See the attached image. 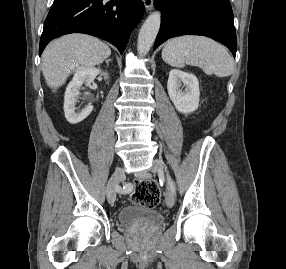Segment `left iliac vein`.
<instances>
[{"label":"left iliac vein","instance_id":"obj_1","mask_svg":"<svg viewBox=\"0 0 286 269\" xmlns=\"http://www.w3.org/2000/svg\"><path fill=\"white\" fill-rule=\"evenodd\" d=\"M151 170H152V172L159 173L163 176L166 175L168 172L165 163L160 159H154V164H153V167ZM174 202H175V196H174V193H173V191L170 187V184H169L167 187L166 194H165L166 206L168 208H171V207H173Z\"/></svg>","mask_w":286,"mask_h":269}]
</instances>
